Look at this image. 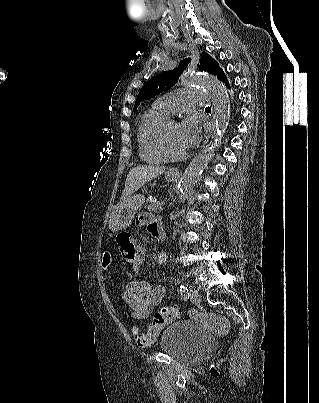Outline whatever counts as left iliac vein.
<instances>
[{
	"label": "left iliac vein",
	"instance_id": "obj_1",
	"mask_svg": "<svg viewBox=\"0 0 319 403\" xmlns=\"http://www.w3.org/2000/svg\"><path fill=\"white\" fill-rule=\"evenodd\" d=\"M190 298L193 301V303H195V304H199L201 301V296H200L198 290H196V289H191Z\"/></svg>",
	"mask_w": 319,
	"mask_h": 403
}]
</instances>
